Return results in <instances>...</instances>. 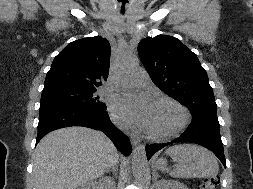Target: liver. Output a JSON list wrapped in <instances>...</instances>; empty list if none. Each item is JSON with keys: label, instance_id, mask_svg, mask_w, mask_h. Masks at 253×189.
<instances>
[{"label": "liver", "instance_id": "liver-1", "mask_svg": "<svg viewBox=\"0 0 253 189\" xmlns=\"http://www.w3.org/2000/svg\"><path fill=\"white\" fill-rule=\"evenodd\" d=\"M120 155L102 132L67 127L38 143L33 160L36 189H76L113 168Z\"/></svg>", "mask_w": 253, "mask_h": 189}]
</instances>
